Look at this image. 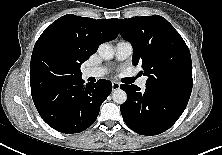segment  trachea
<instances>
[{"instance_id":"1","label":"trachea","mask_w":222,"mask_h":155,"mask_svg":"<svg viewBox=\"0 0 222 155\" xmlns=\"http://www.w3.org/2000/svg\"><path fill=\"white\" fill-rule=\"evenodd\" d=\"M134 80H135V77L128 78V79H127V83H132Z\"/></svg>"}]
</instances>
